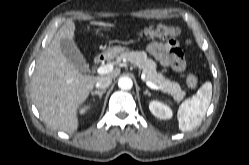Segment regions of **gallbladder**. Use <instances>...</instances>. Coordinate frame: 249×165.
<instances>
[{"mask_svg":"<svg viewBox=\"0 0 249 165\" xmlns=\"http://www.w3.org/2000/svg\"><path fill=\"white\" fill-rule=\"evenodd\" d=\"M60 45L64 56L70 63L81 72H86L88 70V64L74 41L62 39Z\"/></svg>","mask_w":249,"mask_h":165,"instance_id":"bac80fb5","label":"gallbladder"}]
</instances>
